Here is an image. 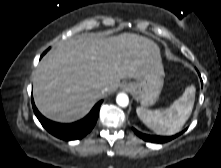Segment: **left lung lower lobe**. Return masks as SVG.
Listing matches in <instances>:
<instances>
[{
  "instance_id": "1",
  "label": "left lung lower lobe",
  "mask_w": 221,
  "mask_h": 168,
  "mask_svg": "<svg viewBox=\"0 0 221 168\" xmlns=\"http://www.w3.org/2000/svg\"><path fill=\"white\" fill-rule=\"evenodd\" d=\"M133 131L140 137L142 138L144 141H148V142H152V143H165L168 142L174 138H176L177 136H179V134H176L174 136H156V135H148V134H144L141 133L139 131H137L136 129L133 128Z\"/></svg>"
}]
</instances>
